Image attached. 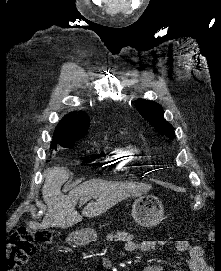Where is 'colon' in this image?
Instances as JSON below:
<instances>
[{"label":"colon","mask_w":221,"mask_h":271,"mask_svg":"<svg viewBox=\"0 0 221 271\" xmlns=\"http://www.w3.org/2000/svg\"><path fill=\"white\" fill-rule=\"evenodd\" d=\"M56 232L46 229L22 228L12 233L9 238L7 263L10 271L16 270L37 250V243L50 241Z\"/></svg>","instance_id":"1"}]
</instances>
